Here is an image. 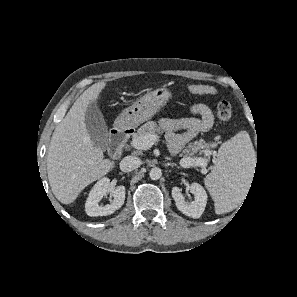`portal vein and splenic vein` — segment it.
Here are the masks:
<instances>
[{"label":"portal vein and splenic vein","mask_w":297,"mask_h":297,"mask_svg":"<svg viewBox=\"0 0 297 297\" xmlns=\"http://www.w3.org/2000/svg\"><path fill=\"white\" fill-rule=\"evenodd\" d=\"M157 139L156 135L153 134H146L144 136L135 138L132 140L131 144L135 149L138 150H147L151 148ZM196 161L194 158L189 159L190 164H194Z\"/></svg>","instance_id":"18ae733b"}]
</instances>
